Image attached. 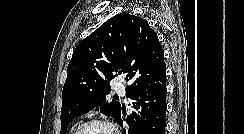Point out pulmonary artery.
<instances>
[{"instance_id": "pulmonary-artery-1", "label": "pulmonary artery", "mask_w": 244, "mask_h": 134, "mask_svg": "<svg viewBox=\"0 0 244 134\" xmlns=\"http://www.w3.org/2000/svg\"><path fill=\"white\" fill-rule=\"evenodd\" d=\"M114 90L121 94V95H124L125 93V85L123 83H116L115 86H114Z\"/></svg>"}]
</instances>
